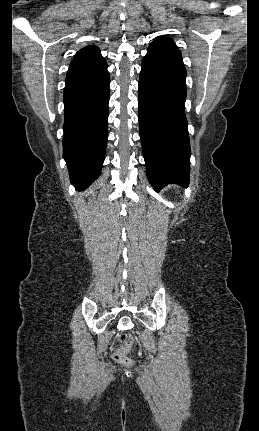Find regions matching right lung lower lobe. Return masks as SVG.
<instances>
[{
  "instance_id": "right-lung-lower-lobe-1",
  "label": "right lung lower lobe",
  "mask_w": 259,
  "mask_h": 431,
  "mask_svg": "<svg viewBox=\"0 0 259 431\" xmlns=\"http://www.w3.org/2000/svg\"><path fill=\"white\" fill-rule=\"evenodd\" d=\"M105 63L66 76L63 157L72 184L87 188L105 159L110 76Z\"/></svg>"
}]
</instances>
